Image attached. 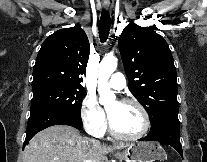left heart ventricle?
I'll return each instance as SVG.
<instances>
[{
  "mask_svg": "<svg viewBox=\"0 0 207 162\" xmlns=\"http://www.w3.org/2000/svg\"><path fill=\"white\" fill-rule=\"evenodd\" d=\"M107 112L115 129L121 134L133 135L143 128V115L135 105L115 101Z\"/></svg>",
  "mask_w": 207,
  "mask_h": 162,
  "instance_id": "obj_1",
  "label": "left heart ventricle"
}]
</instances>
